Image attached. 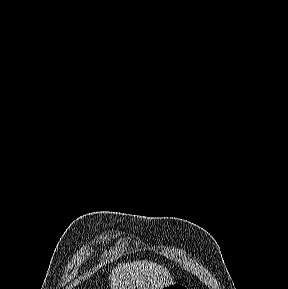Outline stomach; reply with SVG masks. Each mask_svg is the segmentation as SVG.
Instances as JSON below:
<instances>
[{"label":"stomach","mask_w":288,"mask_h":289,"mask_svg":"<svg viewBox=\"0 0 288 289\" xmlns=\"http://www.w3.org/2000/svg\"><path fill=\"white\" fill-rule=\"evenodd\" d=\"M164 289H187L186 286L178 283H173L171 285H168L164 287Z\"/></svg>","instance_id":"stomach-1"}]
</instances>
